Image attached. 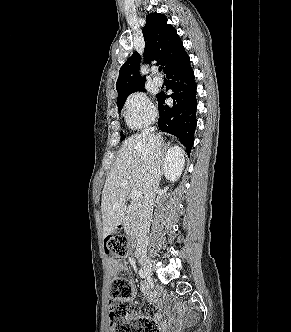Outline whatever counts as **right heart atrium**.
<instances>
[{
	"instance_id": "1",
	"label": "right heart atrium",
	"mask_w": 291,
	"mask_h": 332,
	"mask_svg": "<svg viewBox=\"0 0 291 332\" xmlns=\"http://www.w3.org/2000/svg\"><path fill=\"white\" fill-rule=\"evenodd\" d=\"M156 109L143 92L131 94L125 103L124 116L126 123L134 129L149 126L156 119Z\"/></svg>"
}]
</instances>
